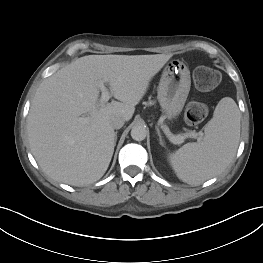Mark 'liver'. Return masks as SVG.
I'll return each instance as SVG.
<instances>
[{
	"label": "liver",
	"instance_id": "1",
	"mask_svg": "<svg viewBox=\"0 0 263 263\" xmlns=\"http://www.w3.org/2000/svg\"><path fill=\"white\" fill-rule=\"evenodd\" d=\"M171 57L88 55L45 79L32 100L27 123L31 151L43 172L73 186L98 181L114 152L111 119L132 118L149 82ZM100 83H108L118 101L101 103Z\"/></svg>",
	"mask_w": 263,
	"mask_h": 263
}]
</instances>
